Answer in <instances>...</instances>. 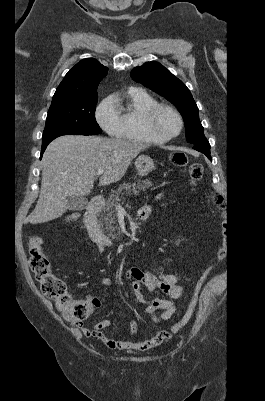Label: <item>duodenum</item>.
<instances>
[{"label":"duodenum","instance_id":"410a0bca","mask_svg":"<svg viewBox=\"0 0 265 401\" xmlns=\"http://www.w3.org/2000/svg\"><path fill=\"white\" fill-rule=\"evenodd\" d=\"M102 208V201L99 197H92L88 203L86 212L84 214V223L90 238L98 244L109 246L110 239L105 235L98 224L97 215ZM139 219L143 217L138 214Z\"/></svg>","mask_w":265,"mask_h":401}]
</instances>
